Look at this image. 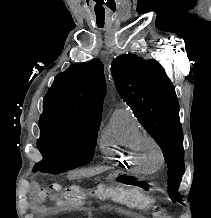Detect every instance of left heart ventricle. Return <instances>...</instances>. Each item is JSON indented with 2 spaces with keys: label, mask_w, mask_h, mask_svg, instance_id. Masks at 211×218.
Segmentation results:
<instances>
[{
  "label": "left heart ventricle",
  "mask_w": 211,
  "mask_h": 218,
  "mask_svg": "<svg viewBox=\"0 0 211 218\" xmlns=\"http://www.w3.org/2000/svg\"><path fill=\"white\" fill-rule=\"evenodd\" d=\"M143 153H144V159L146 162H148L152 166L157 165V153L153 146L146 145L143 150Z\"/></svg>",
  "instance_id": "left-heart-ventricle-1"
}]
</instances>
